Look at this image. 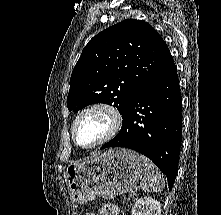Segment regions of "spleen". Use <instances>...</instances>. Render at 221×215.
<instances>
[{
	"label": "spleen",
	"instance_id": "3e777b00",
	"mask_svg": "<svg viewBox=\"0 0 221 215\" xmlns=\"http://www.w3.org/2000/svg\"><path fill=\"white\" fill-rule=\"evenodd\" d=\"M142 179L140 187L145 192L162 191L165 186L164 176L157 166L145 156H141Z\"/></svg>",
	"mask_w": 221,
	"mask_h": 215
}]
</instances>
